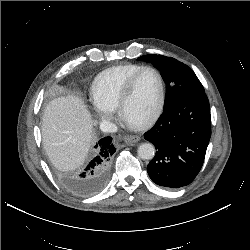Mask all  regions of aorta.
<instances>
[{
  "label": "aorta",
  "mask_w": 250,
  "mask_h": 250,
  "mask_svg": "<svg viewBox=\"0 0 250 250\" xmlns=\"http://www.w3.org/2000/svg\"><path fill=\"white\" fill-rule=\"evenodd\" d=\"M138 156L143 160H151L155 155V147L151 143H143L138 147Z\"/></svg>",
  "instance_id": "aorta-1"
}]
</instances>
